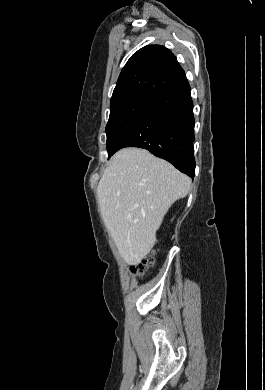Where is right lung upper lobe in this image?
Listing matches in <instances>:
<instances>
[{
	"label": "right lung upper lobe",
	"instance_id": "cb5924a9",
	"mask_svg": "<svg viewBox=\"0 0 265 390\" xmlns=\"http://www.w3.org/2000/svg\"><path fill=\"white\" fill-rule=\"evenodd\" d=\"M185 78L169 49L161 45L145 46L122 69L110 104L138 95L156 98Z\"/></svg>",
	"mask_w": 265,
	"mask_h": 390
}]
</instances>
